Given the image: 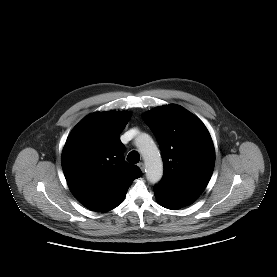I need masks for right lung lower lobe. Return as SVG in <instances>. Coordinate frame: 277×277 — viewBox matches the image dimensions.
<instances>
[{
	"label": "right lung lower lobe",
	"mask_w": 277,
	"mask_h": 277,
	"mask_svg": "<svg viewBox=\"0 0 277 277\" xmlns=\"http://www.w3.org/2000/svg\"><path fill=\"white\" fill-rule=\"evenodd\" d=\"M124 197H125V196H123V197H122L115 205H113L109 210L114 209L115 207H117V206L123 201ZM109 210H108V211H109Z\"/></svg>",
	"instance_id": "1"
}]
</instances>
